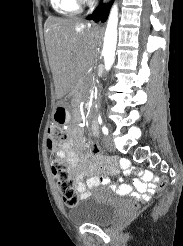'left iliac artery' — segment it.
Masks as SVG:
<instances>
[{
	"label": "left iliac artery",
	"mask_w": 183,
	"mask_h": 246,
	"mask_svg": "<svg viewBox=\"0 0 183 246\" xmlns=\"http://www.w3.org/2000/svg\"><path fill=\"white\" fill-rule=\"evenodd\" d=\"M102 132L105 134V135H108V128L106 126H103L102 127Z\"/></svg>",
	"instance_id": "left-iliac-artery-1"
}]
</instances>
